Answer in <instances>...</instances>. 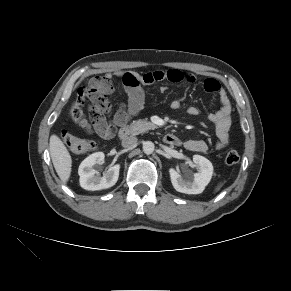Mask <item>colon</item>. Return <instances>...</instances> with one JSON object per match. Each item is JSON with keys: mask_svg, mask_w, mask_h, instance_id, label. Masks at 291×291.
Instances as JSON below:
<instances>
[{"mask_svg": "<svg viewBox=\"0 0 291 291\" xmlns=\"http://www.w3.org/2000/svg\"><path fill=\"white\" fill-rule=\"evenodd\" d=\"M105 83L83 87L78 91L77 97L72 104L69 115L75 124L84 130L95 129L102 121V109L107 101L105 95ZM88 106V112L84 110V106ZM63 141L67 148L74 154H82L94 149L95 144L79 138L68 131H64L62 135ZM239 154L235 150H230L225 155V162L228 165L238 163Z\"/></svg>", "mask_w": 291, "mask_h": 291, "instance_id": "1", "label": "colon"}]
</instances>
